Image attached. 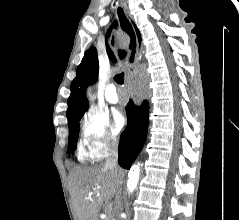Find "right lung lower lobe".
Here are the masks:
<instances>
[{"mask_svg":"<svg viewBox=\"0 0 239 220\" xmlns=\"http://www.w3.org/2000/svg\"><path fill=\"white\" fill-rule=\"evenodd\" d=\"M128 126L120 137L118 163L129 169L144 145L149 118L148 101L144 100L140 106L132 100L126 106Z\"/></svg>","mask_w":239,"mask_h":220,"instance_id":"1","label":"right lung lower lobe"}]
</instances>
